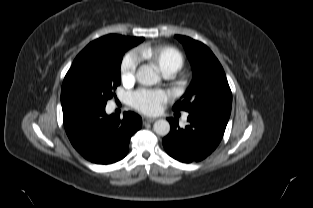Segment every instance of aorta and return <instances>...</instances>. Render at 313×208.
Segmentation results:
<instances>
[{"instance_id":"obj_1","label":"aorta","mask_w":313,"mask_h":208,"mask_svg":"<svg viewBox=\"0 0 313 208\" xmlns=\"http://www.w3.org/2000/svg\"><path fill=\"white\" fill-rule=\"evenodd\" d=\"M138 82L145 86H152L160 81L157 72L148 65L139 67L136 73ZM154 132L160 136H166L170 132V124L167 120L159 119L153 125Z\"/></svg>"}]
</instances>
